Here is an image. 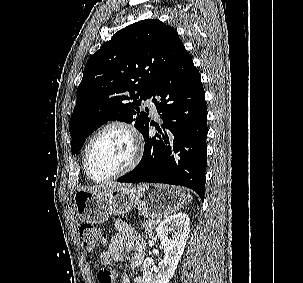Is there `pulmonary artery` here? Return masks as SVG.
<instances>
[{
  "mask_svg": "<svg viewBox=\"0 0 303 283\" xmlns=\"http://www.w3.org/2000/svg\"><path fill=\"white\" fill-rule=\"evenodd\" d=\"M143 107L144 108H148L150 113L153 115V116H157V108H156V104L153 100L152 97L150 98H147L144 102H143Z\"/></svg>",
  "mask_w": 303,
  "mask_h": 283,
  "instance_id": "1",
  "label": "pulmonary artery"
}]
</instances>
